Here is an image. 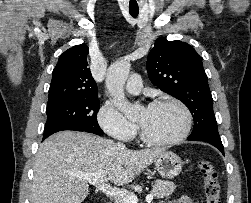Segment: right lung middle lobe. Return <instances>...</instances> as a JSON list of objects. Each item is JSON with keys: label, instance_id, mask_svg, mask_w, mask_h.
<instances>
[{"label": "right lung middle lobe", "instance_id": "obj_1", "mask_svg": "<svg viewBox=\"0 0 251 203\" xmlns=\"http://www.w3.org/2000/svg\"><path fill=\"white\" fill-rule=\"evenodd\" d=\"M99 108L98 98L80 99L47 107L44 134L78 128L102 135L103 131L97 122Z\"/></svg>", "mask_w": 251, "mask_h": 203}]
</instances>
